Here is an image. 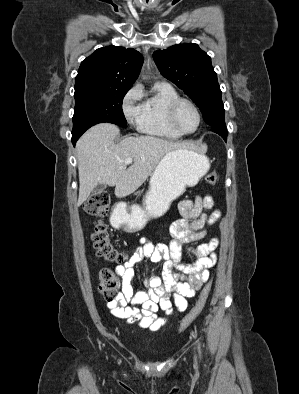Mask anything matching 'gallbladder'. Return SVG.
<instances>
[{"label":"gallbladder","mask_w":299,"mask_h":394,"mask_svg":"<svg viewBox=\"0 0 299 394\" xmlns=\"http://www.w3.org/2000/svg\"><path fill=\"white\" fill-rule=\"evenodd\" d=\"M105 188H106V185H105V184H98V185L95 187L94 191H95V192H100V191H103Z\"/></svg>","instance_id":"1"}]
</instances>
